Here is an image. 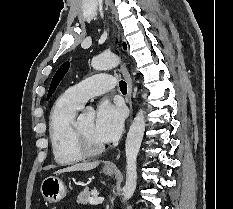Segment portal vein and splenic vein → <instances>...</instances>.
<instances>
[{
  "label": "portal vein and splenic vein",
  "instance_id": "obj_1",
  "mask_svg": "<svg viewBox=\"0 0 233 209\" xmlns=\"http://www.w3.org/2000/svg\"><path fill=\"white\" fill-rule=\"evenodd\" d=\"M104 201V198L102 197H94L89 199V203L92 205H98L101 204Z\"/></svg>",
  "mask_w": 233,
  "mask_h": 209
}]
</instances>
